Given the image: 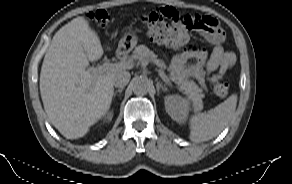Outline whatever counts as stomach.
<instances>
[{
    "mask_svg": "<svg viewBox=\"0 0 292 184\" xmlns=\"http://www.w3.org/2000/svg\"><path fill=\"white\" fill-rule=\"evenodd\" d=\"M138 37L134 32H126L119 42V49H132L137 44Z\"/></svg>",
    "mask_w": 292,
    "mask_h": 184,
    "instance_id": "stomach-1",
    "label": "stomach"
}]
</instances>
